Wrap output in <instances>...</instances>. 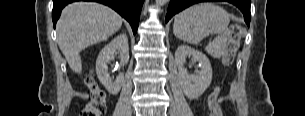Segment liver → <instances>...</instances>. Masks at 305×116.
<instances>
[{
  "mask_svg": "<svg viewBox=\"0 0 305 116\" xmlns=\"http://www.w3.org/2000/svg\"><path fill=\"white\" fill-rule=\"evenodd\" d=\"M121 26V16L105 5L83 1L67 5L57 22V42L72 71L81 73L83 49L107 39Z\"/></svg>",
  "mask_w": 305,
  "mask_h": 116,
  "instance_id": "obj_1",
  "label": "liver"
}]
</instances>
